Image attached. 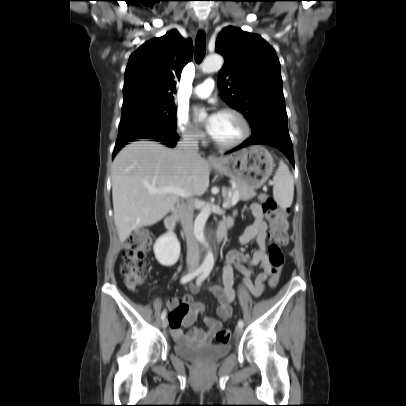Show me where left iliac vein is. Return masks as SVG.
<instances>
[{
  "instance_id": "left-iliac-vein-1",
  "label": "left iliac vein",
  "mask_w": 406,
  "mask_h": 406,
  "mask_svg": "<svg viewBox=\"0 0 406 406\" xmlns=\"http://www.w3.org/2000/svg\"><path fill=\"white\" fill-rule=\"evenodd\" d=\"M242 331H243V328H242V327H240V326H237V327L235 328V332H236V334H241V333H242Z\"/></svg>"
}]
</instances>
